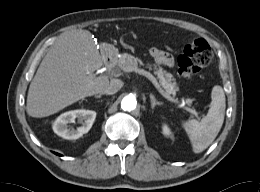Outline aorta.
I'll return each mask as SVG.
<instances>
[{
    "label": "aorta",
    "instance_id": "1",
    "mask_svg": "<svg viewBox=\"0 0 260 192\" xmlns=\"http://www.w3.org/2000/svg\"><path fill=\"white\" fill-rule=\"evenodd\" d=\"M137 106V101L136 98L132 95H127L125 96L122 101H121V108L124 111H132L136 108Z\"/></svg>",
    "mask_w": 260,
    "mask_h": 192
}]
</instances>
